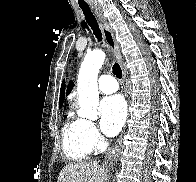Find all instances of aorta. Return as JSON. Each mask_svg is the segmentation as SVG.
I'll return each instance as SVG.
<instances>
[{"instance_id": "762f6f07", "label": "aorta", "mask_w": 196, "mask_h": 182, "mask_svg": "<svg viewBox=\"0 0 196 182\" xmlns=\"http://www.w3.org/2000/svg\"><path fill=\"white\" fill-rule=\"evenodd\" d=\"M105 57L106 55L102 50H96L88 53L81 65L77 91L80 106L78 115L82 118L93 121L98 118L99 91L97 77Z\"/></svg>"}]
</instances>
